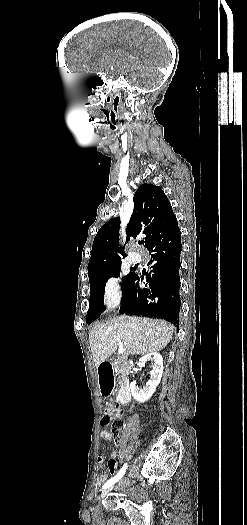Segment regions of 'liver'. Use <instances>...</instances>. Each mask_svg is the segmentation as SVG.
I'll return each mask as SVG.
<instances>
[{"mask_svg": "<svg viewBox=\"0 0 247 525\" xmlns=\"http://www.w3.org/2000/svg\"><path fill=\"white\" fill-rule=\"evenodd\" d=\"M174 329L173 325L161 319L127 315L110 319L106 323H97L89 333L95 367L97 369L107 361L118 347L125 349L124 357L158 353L170 343Z\"/></svg>", "mask_w": 247, "mask_h": 525, "instance_id": "6515ba94", "label": "liver"}]
</instances>
